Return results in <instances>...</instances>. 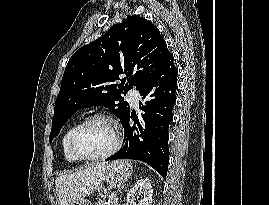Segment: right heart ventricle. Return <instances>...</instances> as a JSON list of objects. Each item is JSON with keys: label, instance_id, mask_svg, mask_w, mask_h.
<instances>
[{"label": "right heart ventricle", "instance_id": "obj_1", "mask_svg": "<svg viewBox=\"0 0 269 205\" xmlns=\"http://www.w3.org/2000/svg\"><path fill=\"white\" fill-rule=\"evenodd\" d=\"M76 125L73 124L71 125L63 134L62 136V140H61V146H62V152H63V156L65 158L66 161L70 162V163H76L78 162V159H76L70 149H69V138H70V135L74 129Z\"/></svg>", "mask_w": 269, "mask_h": 205}]
</instances>
